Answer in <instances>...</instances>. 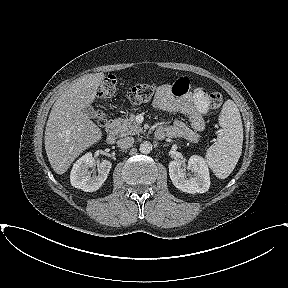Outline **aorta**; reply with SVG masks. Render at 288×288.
<instances>
[{"mask_svg": "<svg viewBox=\"0 0 288 288\" xmlns=\"http://www.w3.org/2000/svg\"><path fill=\"white\" fill-rule=\"evenodd\" d=\"M139 150L143 154H149L151 152V150H152V145H151L150 142L145 141V142L140 144Z\"/></svg>", "mask_w": 288, "mask_h": 288, "instance_id": "762f6f07", "label": "aorta"}]
</instances>
